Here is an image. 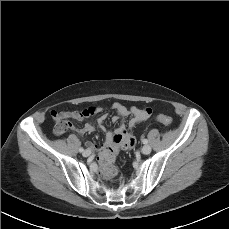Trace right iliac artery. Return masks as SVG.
<instances>
[{"label":"right iliac artery","mask_w":229,"mask_h":229,"mask_svg":"<svg viewBox=\"0 0 229 229\" xmlns=\"http://www.w3.org/2000/svg\"><path fill=\"white\" fill-rule=\"evenodd\" d=\"M84 151V149L81 147V148H79V152H83Z\"/></svg>","instance_id":"right-iliac-artery-1"}]
</instances>
